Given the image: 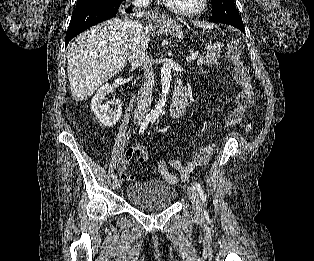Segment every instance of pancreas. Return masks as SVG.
Returning <instances> with one entry per match:
<instances>
[{
  "label": "pancreas",
  "mask_w": 314,
  "mask_h": 261,
  "mask_svg": "<svg viewBox=\"0 0 314 261\" xmlns=\"http://www.w3.org/2000/svg\"><path fill=\"white\" fill-rule=\"evenodd\" d=\"M223 46L224 45L221 43L214 44L210 51L199 57L197 61L198 65L203 69L204 67L217 64V59L220 58V53ZM190 53H193V50H190Z\"/></svg>",
  "instance_id": "pancreas-1"
}]
</instances>
